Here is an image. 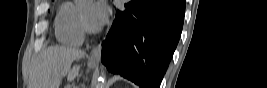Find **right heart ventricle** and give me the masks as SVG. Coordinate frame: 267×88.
I'll return each instance as SVG.
<instances>
[{
  "instance_id": "right-heart-ventricle-1",
  "label": "right heart ventricle",
  "mask_w": 267,
  "mask_h": 88,
  "mask_svg": "<svg viewBox=\"0 0 267 88\" xmlns=\"http://www.w3.org/2000/svg\"><path fill=\"white\" fill-rule=\"evenodd\" d=\"M79 11L78 6L72 2H65L58 11L56 35L58 40L65 45L77 46L82 42Z\"/></svg>"
}]
</instances>
